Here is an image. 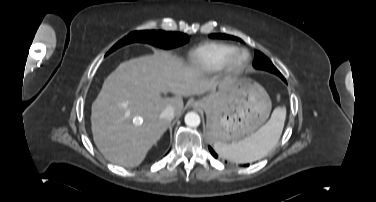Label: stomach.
I'll list each match as a JSON object with an SVG mask.
<instances>
[{
	"label": "stomach",
	"mask_w": 376,
	"mask_h": 202,
	"mask_svg": "<svg viewBox=\"0 0 376 202\" xmlns=\"http://www.w3.org/2000/svg\"><path fill=\"white\" fill-rule=\"evenodd\" d=\"M207 115L212 142H237L252 135L267 120L271 102L266 91L246 79L221 82L218 90L194 102Z\"/></svg>",
	"instance_id": "1"
}]
</instances>
